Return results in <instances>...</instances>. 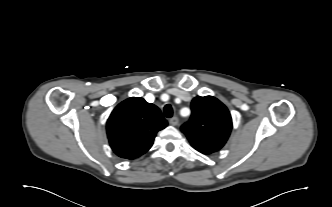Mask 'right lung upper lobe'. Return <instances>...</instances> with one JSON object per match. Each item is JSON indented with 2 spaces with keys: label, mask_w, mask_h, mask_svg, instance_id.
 <instances>
[{
  "label": "right lung upper lobe",
  "mask_w": 332,
  "mask_h": 207,
  "mask_svg": "<svg viewBox=\"0 0 332 207\" xmlns=\"http://www.w3.org/2000/svg\"><path fill=\"white\" fill-rule=\"evenodd\" d=\"M166 126L158 107L143 98L131 97L112 111L106 129L112 150L119 157L132 160L146 153L157 132Z\"/></svg>",
  "instance_id": "1"
}]
</instances>
